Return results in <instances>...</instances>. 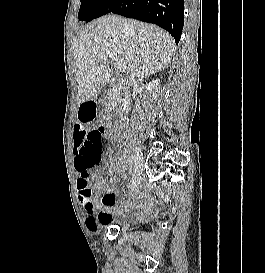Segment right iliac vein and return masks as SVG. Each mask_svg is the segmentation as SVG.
<instances>
[{"label": "right iliac vein", "instance_id": "63e3f726", "mask_svg": "<svg viewBox=\"0 0 265 273\" xmlns=\"http://www.w3.org/2000/svg\"><path fill=\"white\" fill-rule=\"evenodd\" d=\"M135 158H136V170L134 173V179H133V184H132V188L136 189L137 186L140 183V178H141V174H142V153L140 152L139 149H135Z\"/></svg>", "mask_w": 265, "mask_h": 273}]
</instances>
